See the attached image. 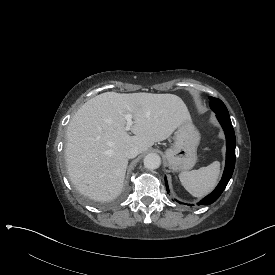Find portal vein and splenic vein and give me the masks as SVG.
Masks as SVG:
<instances>
[{
	"label": "portal vein and splenic vein",
	"instance_id": "1",
	"mask_svg": "<svg viewBox=\"0 0 275 275\" xmlns=\"http://www.w3.org/2000/svg\"><path fill=\"white\" fill-rule=\"evenodd\" d=\"M124 118L127 121L125 131H129L133 125V121H132L133 115L131 113H126L124 114Z\"/></svg>",
	"mask_w": 275,
	"mask_h": 275
}]
</instances>
